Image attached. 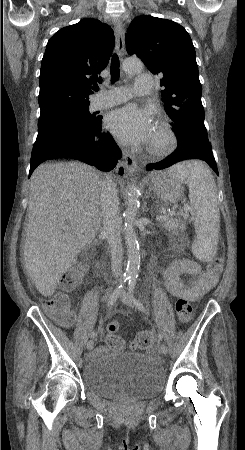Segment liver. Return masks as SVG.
<instances>
[{
    "label": "liver",
    "instance_id": "obj_1",
    "mask_svg": "<svg viewBox=\"0 0 245 450\" xmlns=\"http://www.w3.org/2000/svg\"><path fill=\"white\" fill-rule=\"evenodd\" d=\"M101 178L80 162L45 163L32 174L24 244L25 268L51 296L101 227Z\"/></svg>",
    "mask_w": 245,
    "mask_h": 450
}]
</instances>
